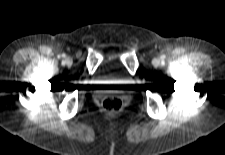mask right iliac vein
Here are the masks:
<instances>
[{
	"mask_svg": "<svg viewBox=\"0 0 225 155\" xmlns=\"http://www.w3.org/2000/svg\"><path fill=\"white\" fill-rule=\"evenodd\" d=\"M67 65H71L72 64V59L71 58H66L65 60Z\"/></svg>",
	"mask_w": 225,
	"mask_h": 155,
	"instance_id": "1",
	"label": "right iliac vein"
}]
</instances>
